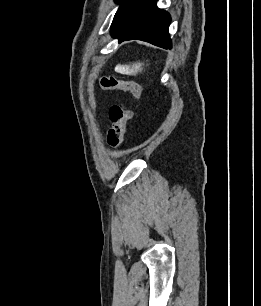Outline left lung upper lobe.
I'll return each mask as SVG.
<instances>
[{"label":"left lung upper lobe","mask_w":261,"mask_h":306,"mask_svg":"<svg viewBox=\"0 0 261 306\" xmlns=\"http://www.w3.org/2000/svg\"><path fill=\"white\" fill-rule=\"evenodd\" d=\"M116 3H120V6L118 8V11L116 12L112 25H111V30L115 27V25L117 24L122 12L124 11V9L126 8V6L132 1V0H115Z\"/></svg>","instance_id":"left-lung-upper-lobe-1"}]
</instances>
